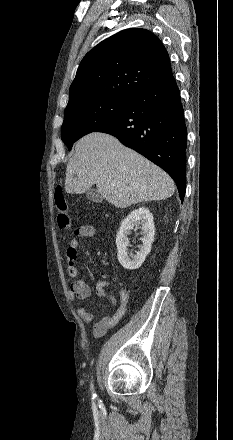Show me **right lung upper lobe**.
Returning a JSON list of instances; mask_svg holds the SVG:
<instances>
[{"mask_svg": "<svg viewBox=\"0 0 233 440\" xmlns=\"http://www.w3.org/2000/svg\"><path fill=\"white\" fill-rule=\"evenodd\" d=\"M171 76L169 55L159 38L145 29H126L84 56L68 105L95 97L130 99Z\"/></svg>", "mask_w": 233, "mask_h": 440, "instance_id": "1", "label": "right lung upper lobe"}]
</instances>
